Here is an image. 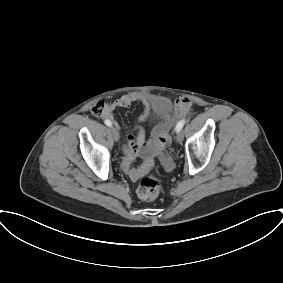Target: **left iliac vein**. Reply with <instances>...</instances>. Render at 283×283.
<instances>
[{"instance_id": "4c4485c4", "label": "left iliac vein", "mask_w": 283, "mask_h": 283, "mask_svg": "<svg viewBox=\"0 0 283 283\" xmlns=\"http://www.w3.org/2000/svg\"><path fill=\"white\" fill-rule=\"evenodd\" d=\"M183 138H184V134L183 132H178L177 135H176V140L178 143H181L183 141Z\"/></svg>"}]
</instances>
